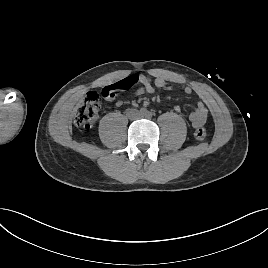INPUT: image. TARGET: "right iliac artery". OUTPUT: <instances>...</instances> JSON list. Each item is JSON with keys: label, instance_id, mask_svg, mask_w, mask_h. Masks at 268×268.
<instances>
[{"label": "right iliac artery", "instance_id": "1", "mask_svg": "<svg viewBox=\"0 0 268 268\" xmlns=\"http://www.w3.org/2000/svg\"><path fill=\"white\" fill-rule=\"evenodd\" d=\"M139 112H140V114H142V115H146L148 111H147L146 108H141Z\"/></svg>", "mask_w": 268, "mask_h": 268}]
</instances>
